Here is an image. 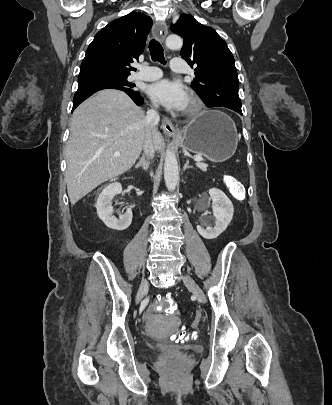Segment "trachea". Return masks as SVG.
I'll use <instances>...</instances> for the list:
<instances>
[{
	"instance_id": "obj_1",
	"label": "trachea",
	"mask_w": 332,
	"mask_h": 405,
	"mask_svg": "<svg viewBox=\"0 0 332 405\" xmlns=\"http://www.w3.org/2000/svg\"><path fill=\"white\" fill-rule=\"evenodd\" d=\"M149 51H150V55H151V59L153 61H158L162 64H165L166 61L164 59V53H163V48L161 46V44L152 39L149 43Z\"/></svg>"
}]
</instances>
